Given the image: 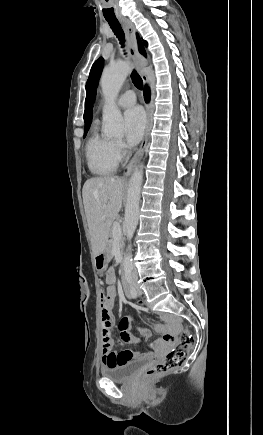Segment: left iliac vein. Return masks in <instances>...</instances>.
Masks as SVG:
<instances>
[{"label":"left iliac vein","mask_w":263,"mask_h":435,"mask_svg":"<svg viewBox=\"0 0 263 435\" xmlns=\"http://www.w3.org/2000/svg\"><path fill=\"white\" fill-rule=\"evenodd\" d=\"M135 289L138 295H141L143 293L142 290L137 285H135Z\"/></svg>","instance_id":"1"}]
</instances>
